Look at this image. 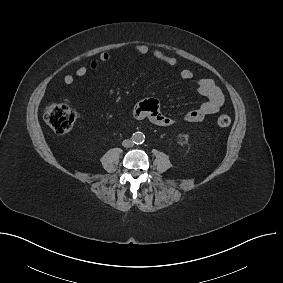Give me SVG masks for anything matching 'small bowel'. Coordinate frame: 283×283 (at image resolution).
Wrapping results in <instances>:
<instances>
[{
	"instance_id": "c3829d8e",
	"label": "small bowel",
	"mask_w": 283,
	"mask_h": 283,
	"mask_svg": "<svg viewBox=\"0 0 283 283\" xmlns=\"http://www.w3.org/2000/svg\"><path fill=\"white\" fill-rule=\"evenodd\" d=\"M133 52L139 55L151 54L155 59L169 65L175 66L177 59L174 56L168 55L159 49H150L147 45L137 44L132 48ZM111 56L107 52L101 53L98 58L91 62L90 69L96 70L100 64L106 63ZM86 66H81L76 69L74 74H67L64 77L66 85H72L76 78H82L88 73ZM178 75L183 80H191L193 72L189 69H182ZM197 92L206 100L198 108L186 113L184 120L187 122H200L208 115L217 113L224 104V95L221 89L215 84L212 79L202 78L197 82ZM134 117L138 120H149L158 126H169L175 123L173 118H170L162 113L159 102L156 99H145L139 102L133 111Z\"/></svg>"
}]
</instances>
